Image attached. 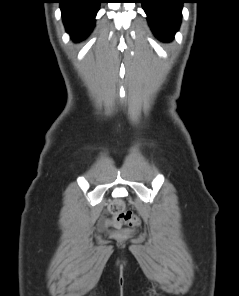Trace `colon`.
Segmentation results:
<instances>
[{"label":"colon","mask_w":239,"mask_h":296,"mask_svg":"<svg viewBox=\"0 0 239 296\" xmlns=\"http://www.w3.org/2000/svg\"><path fill=\"white\" fill-rule=\"evenodd\" d=\"M109 211L113 215V224L117 227L127 225L134 228L140 225L139 218L131 211L125 208L122 200L116 199L109 205Z\"/></svg>","instance_id":"5ec220e1"}]
</instances>
